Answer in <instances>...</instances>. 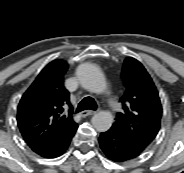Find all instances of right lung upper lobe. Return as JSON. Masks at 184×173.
<instances>
[{"mask_svg":"<svg viewBox=\"0 0 184 173\" xmlns=\"http://www.w3.org/2000/svg\"><path fill=\"white\" fill-rule=\"evenodd\" d=\"M68 64L49 63L22 96L17 112L21 134L34 152L49 149L77 127L69 92L64 87Z\"/></svg>","mask_w":184,"mask_h":173,"instance_id":"1","label":"right lung upper lobe"}]
</instances>
